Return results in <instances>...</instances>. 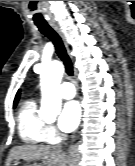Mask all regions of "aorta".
<instances>
[{
	"label": "aorta",
	"mask_w": 135,
	"mask_h": 166,
	"mask_svg": "<svg viewBox=\"0 0 135 166\" xmlns=\"http://www.w3.org/2000/svg\"><path fill=\"white\" fill-rule=\"evenodd\" d=\"M64 67L61 62L53 61L44 66L40 75L41 108L39 115L43 118L55 117L60 113L62 97L60 82Z\"/></svg>",
	"instance_id": "762f6f07"
}]
</instances>
